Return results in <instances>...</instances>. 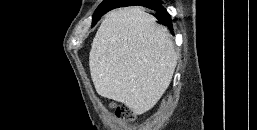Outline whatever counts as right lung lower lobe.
I'll return each instance as SVG.
<instances>
[{"label": "right lung lower lobe", "instance_id": "right-lung-lower-lobe-1", "mask_svg": "<svg viewBox=\"0 0 257 130\" xmlns=\"http://www.w3.org/2000/svg\"><path fill=\"white\" fill-rule=\"evenodd\" d=\"M124 3L121 7L130 6V5H139L143 7H147L156 11L155 17L158 19V23L173 29L172 20L169 13L166 9L161 5L159 0H144V1H123Z\"/></svg>", "mask_w": 257, "mask_h": 130}]
</instances>
